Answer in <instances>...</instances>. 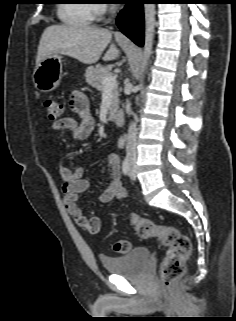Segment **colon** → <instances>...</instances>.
<instances>
[{
  "mask_svg": "<svg viewBox=\"0 0 236 321\" xmlns=\"http://www.w3.org/2000/svg\"><path fill=\"white\" fill-rule=\"evenodd\" d=\"M44 107L52 120H57L62 113V106L57 100L46 99ZM130 222L140 239H157L166 248L159 274L163 286H170L184 272L185 261L191 252L190 240L176 228L157 225L136 213L130 214ZM113 249L117 253L126 254L131 244L127 240H118L113 244Z\"/></svg>",
  "mask_w": 236,
  "mask_h": 321,
  "instance_id": "obj_1",
  "label": "colon"
}]
</instances>
